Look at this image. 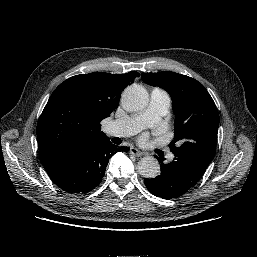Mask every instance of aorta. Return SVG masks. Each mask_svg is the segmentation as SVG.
Returning a JSON list of instances; mask_svg holds the SVG:
<instances>
[{
    "mask_svg": "<svg viewBox=\"0 0 257 257\" xmlns=\"http://www.w3.org/2000/svg\"><path fill=\"white\" fill-rule=\"evenodd\" d=\"M148 93L140 85H130L122 93L121 102L127 111H140L148 105ZM138 172L145 178H154L160 173V165L156 158L146 156L139 160Z\"/></svg>",
    "mask_w": 257,
    "mask_h": 257,
    "instance_id": "aorta-1",
    "label": "aorta"
}]
</instances>
